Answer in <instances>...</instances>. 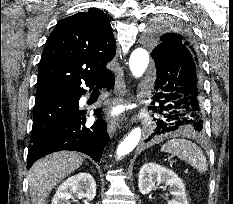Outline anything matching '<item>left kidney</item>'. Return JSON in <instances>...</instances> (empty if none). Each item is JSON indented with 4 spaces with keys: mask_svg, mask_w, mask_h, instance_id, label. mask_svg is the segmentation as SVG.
<instances>
[{
    "mask_svg": "<svg viewBox=\"0 0 233 204\" xmlns=\"http://www.w3.org/2000/svg\"><path fill=\"white\" fill-rule=\"evenodd\" d=\"M161 183L169 187L170 194L173 196L168 204H189L185 193V185L176 173L155 163L142 166L138 179L141 194L150 193Z\"/></svg>",
    "mask_w": 233,
    "mask_h": 204,
    "instance_id": "5707ae66",
    "label": "left kidney"
}]
</instances>
